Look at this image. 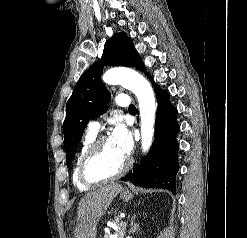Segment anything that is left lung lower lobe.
<instances>
[{
    "label": "left lung lower lobe",
    "mask_w": 247,
    "mask_h": 238,
    "mask_svg": "<svg viewBox=\"0 0 247 238\" xmlns=\"http://www.w3.org/2000/svg\"><path fill=\"white\" fill-rule=\"evenodd\" d=\"M147 76L152 81L151 76ZM154 86L158 100L155 141L148 155L122 180L145 188L162 187L175 191V175L179 169L176 135L180 130L176 120L177 109L170 104L169 94L156 84Z\"/></svg>",
    "instance_id": "obj_1"
}]
</instances>
